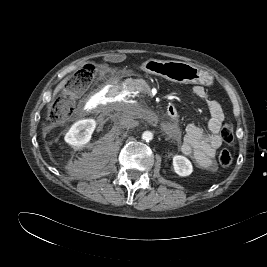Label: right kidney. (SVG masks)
<instances>
[{"instance_id":"right-kidney-1","label":"right kidney","mask_w":267,"mask_h":267,"mask_svg":"<svg viewBox=\"0 0 267 267\" xmlns=\"http://www.w3.org/2000/svg\"><path fill=\"white\" fill-rule=\"evenodd\" d=\"M96 128L94 119H83L75 122L65 135V142L74 147L86 145Z\"/></svg>"}]
</instances>
